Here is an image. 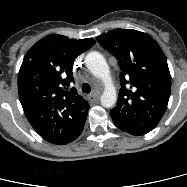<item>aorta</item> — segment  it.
<instances>
[{
    "label": "aorta",
    "mask_w": 187,
    "mask_h": 187,
    "mask_svg": "<svg viewBox=\"0 0 187 187\" xmlns=\"http://www.w3.org/2000/svg\"><path fill=\"white\" fill-rule=\"evenodd\" d=\"M85 64L90 72L101 79L105 85L104 92L101 95L102 106L105 108L113 107L117 101V93L112 84L109 66L105 58L99 52H90L85 58Z\"/></svg>",
    "instance_id": "1"
}]
</instances>
